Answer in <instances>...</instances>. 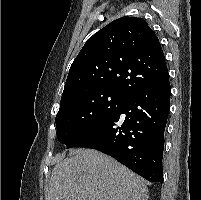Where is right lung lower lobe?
<instances>
[{
  "label": "right lung lower lobe",
  "instance_id": "1",
  "mask_svg": "<svg viewBox=\"0 0 201 200\" xmlns=\"http://www.w3.org/2000/svg\"><path fill=\"white\" fill-rule=\"evenodd\" d=\"M170 95L167 73L155 83L130 94L117 110L76 137L67 148L99 150L148 181L162 183Z\"/></svg>",
  "mask_w": 201,
  "mask_h": 200
}]
</instances>
